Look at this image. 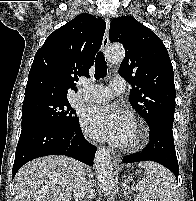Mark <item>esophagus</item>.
<instances>
[{
  "instance_id": "esophagus-1",
  "label": "esophagus",
  "mask_w": 196,
  "mask_h": 201,
  "mask_svg": "<svg viewBox=\"0 0 196 201\" xmlns=\"http://www.w3.org/2000/svg\"><path fill=\"white\" fill-rule=\"evenodd\" d=\"M105 23H106V30L104 33L103 41H102V51L106 53L108 44H109V27H110V19L107 17L105 18ZM121 161V157L119 155H114L113 156V162L115 164H118Z\"/></svg>"
}]
</instances>
